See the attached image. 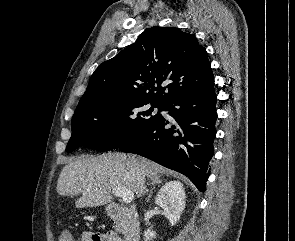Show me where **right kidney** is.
Listing matches in <instances>:
<instances>
[{
	"instance_id": "1",
	"label": "right kidney",
	"mask_w": 295,
	"mask_h": 241,
	"mask_svg": "<svg viewBox=\"0 0 295 241\" xmlns=\"http://www.w3.org/2000/svg\"><path fill=\"white\" fill-rule=\"evenodd\" d=\"M186 195L183 184L179 181L167 182L159 190L155 204L163 209V215L169 220L171 226H174L179 220L185 208ZM156 238V233L147 229L144 232V240Z\"/></svg>"
}]
</instances>
